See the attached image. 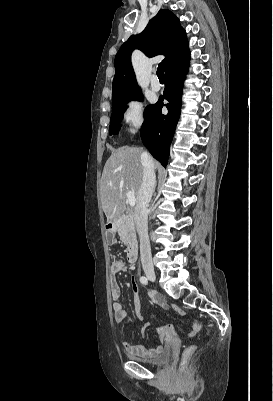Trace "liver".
I'll list each match as a JSON object with an SVG mask.
<instances>
[{
	"label": "liver",
	"mask_w": 273,
	"mask_h": 401,
	"mask_svg": "<svg viewBox=\"0 0 273 401\" xmlns=\"http://www.w3.org/2000/svg\"><path fill=\"white\" fill-rule=\"evenodd\" d=\"M142 148L124 146L116 148L105 162L100 182L102 209L108 223L119 221L126 209L128 190H133L138 203V190L142 182ZM157 168L158 162L153 160Z\"/></svg>",
	"instance_id": "liver-1"
}]
</instances>
